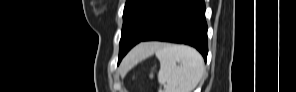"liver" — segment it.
Returning <instances> with one entry per match:
<instances>
[{
	"label": "liver",
	"instance_id": "6515ba94",
	"mask_svg": "<svg viewBox=\"0 0 296 92\" xmlns=\"http://www.w3.org/2000/svg\"><path fill=\"white\" fill-rule=\"evenodd\" d=\"M149 44H142L139 47H137L129 56L130 60H134L136 57H139V55L142 53L143 49L148 47Z\"/></svg>",
	"mask_w": 296,
	"mask_h": 92
}]
</instances>
